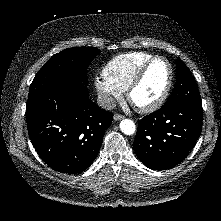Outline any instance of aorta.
<instances>
[{
  "mask_svg": "<svg viewBox=\"0 0 221 221\" xmlns=\"http://www.w3.org/2000/svg\"><path fill=\"white\" fill-rule=\"evenodd\" d=\"M120 130L126 135L134 134L136 127L132 120L130 119H123L120 122Z\"/></svg>",
  "mask_w": 221,
  "mask_h": 221,
  "instance_id": "aorta-1",
  "label": "aorta"
}]
</instances>
